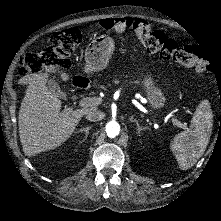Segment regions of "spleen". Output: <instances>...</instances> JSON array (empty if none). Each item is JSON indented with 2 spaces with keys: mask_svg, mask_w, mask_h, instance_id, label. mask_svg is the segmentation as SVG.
Returning a JSON list of instances; mask_svg holds the SVG:
<instances>
[{
  "mask_svg": "<svg viewBox=\"0 0 221 221\" xmlns=\"http://www.w3.org/2000/svg\"><path fill=\"white\" fill-rule=\"evenodd\" d=\"M213 127V114L209 101L204 100L196 108L189 128L180 131L171 148L183 170L193 167L208 146Z\"/></svg>",
  "mask_w": 221,
  "mask_h": 221,
  "instance_id": "3e777b00",
  "label": "spleen"
}]
</instances>
